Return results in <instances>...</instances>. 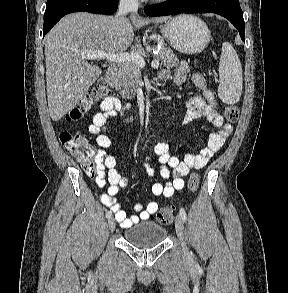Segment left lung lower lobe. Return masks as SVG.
<instances>
[{"instance_id": "left-lung-lower-lobe-1", "label": "left lung lower lobe", "mask_w": 288, "mask_h": 293, "mask_svg": "<svg viewBox=\"0 0 288 293\" xmlns=\"http://www.w3.org/2000/svg\"><path fill=\"white\" fill-rule=\"evenodd\" d=\"M149 16H164L180 13H216L227 18L245 41L244 19L239 0H167L144 7Z\"/></svg>"}]
</instances>
